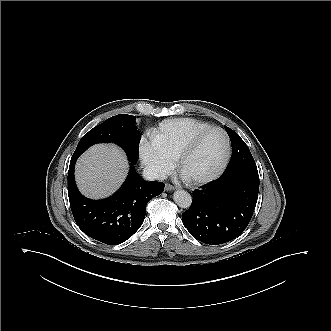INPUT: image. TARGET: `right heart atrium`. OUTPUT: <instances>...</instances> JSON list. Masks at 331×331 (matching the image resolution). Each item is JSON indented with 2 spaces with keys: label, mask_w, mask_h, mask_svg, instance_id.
Segmentation results:
<instances>
[{
  "label": "right heart atrium",
  "mask_w": 331,
  "mask_h": 331,
  "mask_svg": "<svg viewBox=\"0 0 331 331\" xmlns=\"http://www.w3.org/2000/svg\"><path fill=\"white\" fill-rule=\"evenodd\" d=\"M139 154L146 169L155 177L166 176L173 168V155L156 147L145 138L141 140Z\"/></svg>",
  "instance_id": "obj_1"
}]
</instances>
